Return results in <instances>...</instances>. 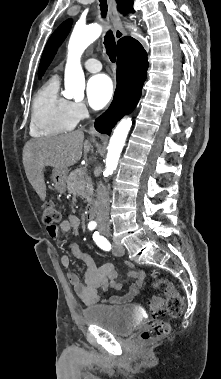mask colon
<instances>
[{
  "mask_svg": "<svg viewBox=\"0 0 221 379\" xmlns=\"http://www.w3.org/2000/svg\"><path fill=\"white\" fill-rule=\"evenodd\" d=\"M41 219L47 229H54L56 227V224L60 220V212L53 202H46L44 204ZM161 285L164 286V296H154L150 300L152 314L167 313L172 317L180 316L184 309L183 298L171 282L154 274L152 287L158 288ZM169 331L170 325L168 322L155 320L141 333V339L143 341H155L167 336Z\"/></svg>",
  "mask_w": 221,
  "mask_h": 379,
  "instance_id": "obj_1",
  "label": "colon"
}]
</instances>
